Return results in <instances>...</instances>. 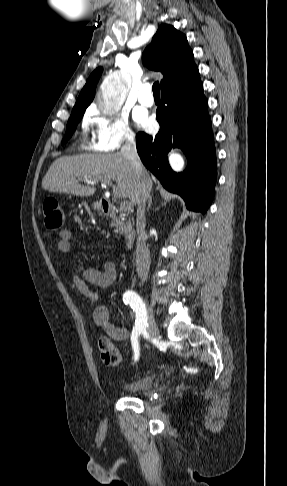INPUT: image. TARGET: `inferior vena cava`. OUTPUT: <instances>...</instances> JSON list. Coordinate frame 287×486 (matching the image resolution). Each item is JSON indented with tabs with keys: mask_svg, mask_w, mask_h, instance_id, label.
<instances>
[{
	"mask_svg": "<svg viewBox=\"0 0 287 486\" xmlns=\"http://www.w3.org/2000/svg\"><path fill=\"white\" fill-rule=\"evenodd\" d=\"M121 154L128 158L135 169L137 176V242H136V271L138 276L144 282L148 277L150 268V251L146 241L148 235L145 231V205L152 188V181L136 150V142L132 135L127 137L125 144L121 148Z\"/></svg>",
	"mask_w": 287,
	"mask_h": 486,
	"instance_id": "1",
	"label": "inferior vena cava"
}]
</instances>
